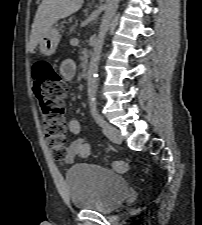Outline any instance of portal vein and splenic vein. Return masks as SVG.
Wrapping results in <instances>:
<instances>
[{"instance_id": "obj_1", "label": "portal vein and splenic vein", "mask_w": 202, "mask_h": 225, "mask_svg": "<svg viewBox=\"0 0 202 225\" xmlns=\"http://www.w3.org/2000/svg\"><path fill=\"white\" fill-rule=\"evenodd\" d=\"M71 45H77L78 44V39L73 38L70 40Z\"/></svg>"}]
</instances>
